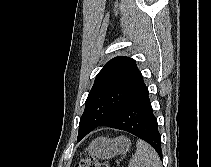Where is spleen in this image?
<instances>
[{
    "label": "spleen",
    "mask_w": 211,
    "mask_h": 167,
    "mask_svg": "<svg viewBox=\"0 0 211 167\" xmlns=\"http://www.w3.org/2000/svg\"><path fill=\"white\" fill-rule=\"evenodd\" d=\"M136 153L132 156L128 167H161L156 151L145 141L138 140Z\"/></svg>",
    "instance_id": "obj_1"
}]
</instances>
